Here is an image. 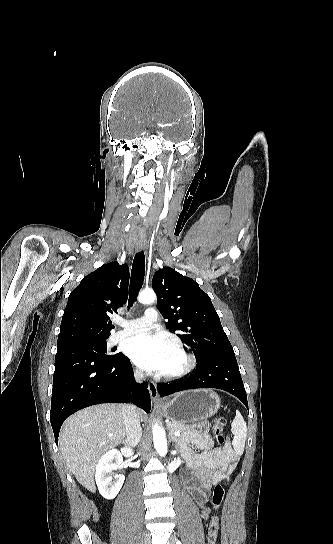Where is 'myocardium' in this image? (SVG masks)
I'll return each instance as SVG.
<instances>
[{
	"instance_id": "obj_1",
	"label": "myocardium",
	"mask_w": 333,
	"mask_h": 544,
	"mask_svg": "<svg viewBox=\"0 0 333 544\" xmlns=\"http://www.w3.org/2000/svg\"><path fill=\"white\" fill-rule=\"evenodd\" d=\"M171 347L182 357L183 365L170 373H161L160 377L164 380H178L189 375L196 367V358L181 343L172 342Z\"/></svg>"
}]
</instances>
